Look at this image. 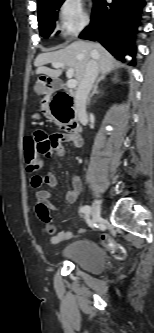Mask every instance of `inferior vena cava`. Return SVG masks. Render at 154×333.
Wrapping results in <instances>:
<instances>
[{"label":"inferior vena cava","mask_w":154,"mask_h":333,"mask_svg":"<svg viewBox=\"0 0 154 333\" xmlns=\"http://www.w3.org/2000/svg\"><path fill=\"white\" fill-rule=\"evenodd\" d=\"M98 72L99 68L97 61L91 59L87 63L85 75L79 83L74 99L75 113L81 122L87 121L86 101L97 78Z\"/></svg>","instance_id":"inferior-vena-cava-1"}]
</instances>
